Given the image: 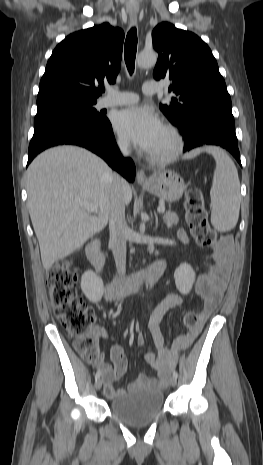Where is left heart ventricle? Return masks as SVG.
<instances>
[{
  "mask_svg": "<svg viewBox=\"0 0 263 465\" xmlns=\"http://www.w3.org/2000/svg\"><path fill=\"white\" fill-rule=\"evenodd\" d=\"M173 140L169 133L164 129L154 148L150 151L154 155H165L173 148Z\"/></svg>",
  "mask_w": 263,
  "mask_h": 465,
  "instance_id": "1",
  "label": "left heart ventricle"
}]
</instances>
